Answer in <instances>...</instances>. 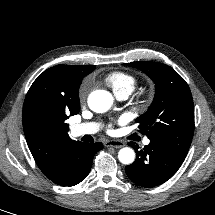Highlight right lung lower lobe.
Returning a JSON list of instances; mask_svg holds the SVG:
<instances>
[{
  "instance_id": "98d812e1",
  "label": "right lung lower lobe",
  "mask_w": 215,
  "mask_h": 215,
  "mask_svg": "<svg viewBox=\"0 0 215 215\" xmlns=\"http://www.w3.org/2000/svg\"><path fill=\"white\" fill-rule=\"evenodd\" d=\"M103 148L101 143L77 142L66 153L61 176L53 181L61 186H74L89 174L94 155Z\"/></svg>"
}]
</instances>
